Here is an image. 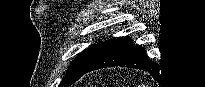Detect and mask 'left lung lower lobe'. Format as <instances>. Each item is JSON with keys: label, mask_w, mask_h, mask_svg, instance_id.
<instances>
[{"label": "left lung lower lobe", "mask_w": 205, "mask_h": 87, "mask_svg": "<svg viewBox=\"0 0 205 87\" xmlns=\"http://www.w3.org/2000/svg\"><path fill=\"white\" fill-rule=\"evenodd\" d=\"M114 66L142 69L149 71L153 76L156 75L158 69L156 63L148 60L142 47L134 45L130 38L122 37L106 41L82 75L97 69Z\"/></svg>", "instance_id": "obj_1"}]
</instances>
